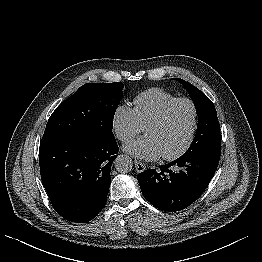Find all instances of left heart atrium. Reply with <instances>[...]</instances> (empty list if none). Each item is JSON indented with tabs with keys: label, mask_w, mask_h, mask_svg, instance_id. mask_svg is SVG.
Instances as JSON below:
<instances>
[{
	"label": "left heart atrium",
	"mask_w": 262,
	"mask_h": 262,
	"mask_svg": "<svg viewBox=\"0 0 262 262\" xmlns=\"http://www.w3.org/2000/svg\"><path fill=\"white\" fill-rule=\"evenodd\" d=\"M124 150L138 159L147 161H154L162 156L158 143L148 136L129 142L124 146Z\"/></svg>",
	"instance_id": "left-heart-atrium-1"
}]
</instances>
